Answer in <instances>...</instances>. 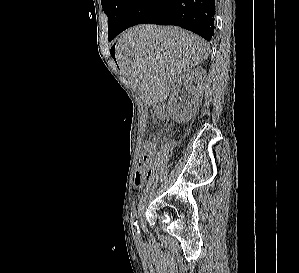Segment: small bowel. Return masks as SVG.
<instances>
[{
  "mask_svg": "<svg viewBox=\"0 0 299 273\" xmlns=\"http://www.w3.org/2000/svg\"><path fill=\"white\" fill-rule=\"evenodd\" d=\"M144 182H145V179H143V180H137V178L135 176L134 183H135L136 187L142 186L144 184Z\"/></svg>",
  "mask_w": 299,
  "mask_h": 273,
  "instance_id": "c3829d8e",
  "label": "small bowel"
}]
</instances>
